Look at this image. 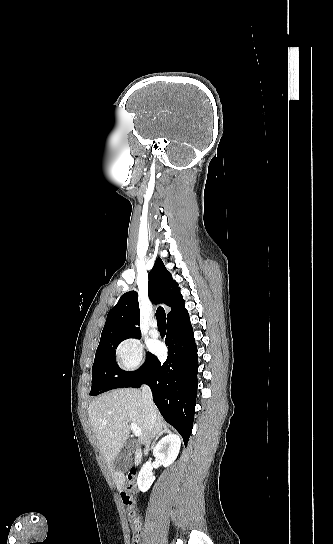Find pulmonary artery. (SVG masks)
<instances>
[{"label": "pulmonary artery", "instance_id": "obj_1", "mask_svg": "<svg viewBox=\"0 0 333 544\" xmlns=\"http://www.w3.org/2000/svg\"><path fill=\"white\" fill-rule=\"evenodd\" d=\"M151 331H150V335L153 337V338H157L159 336V330H158V326H157V321L155 320H152L151 323Z\"/></svg>", "mask_w": 333, "mask_h": 544}]
</instances>
